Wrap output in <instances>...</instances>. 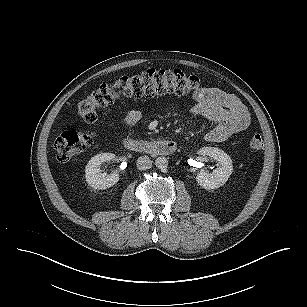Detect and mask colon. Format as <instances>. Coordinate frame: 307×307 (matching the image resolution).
<instances>
[{"label":"colon","mask_w":307,"mask_h":307,"mask_svg":"<svg viewBox=\"0 0 307 307\" xmlns=\"http://www.w3.org/2000/svg\"><path fill=\"white\" fill-rule=\"evenodd\" d=\"M196 76L179 69H149L137 74L123 76L111 84L95 88L78 105V115L86 123L97 121V111L106 107L122 96L135 98H152L165 94L189 95L198 87ZM94 133L76 130L64 131L54 143V151L59 161H66L81 154L91 146ZM251 150H260L263 139L260 134L253 133L247 141Z\"/></svg>","instance_id":"5ec220e1"}]
</instances>
